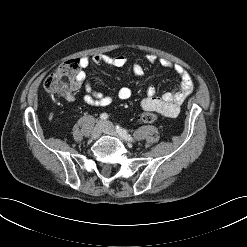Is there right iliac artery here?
<instances>
[{
  "instance_id": "1",
  "label": "right iliac artery",
  "mask_w": 247,
  "mask_h": 247,
  "mask_svg": "<svg viewBox=\"0 0 247 247\" xmlns=\"http://www.w3.org/2000/svg\"><path fill=\"white\" fill-rule=\"evenodd\" d=\"M100 118H101V120H106L108 118V114L107 113H102L100 115Z\"/></svg>"
}]
</instances>
